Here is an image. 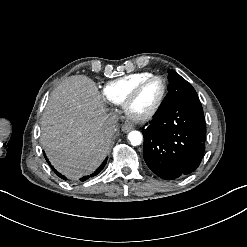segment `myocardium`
<instances>
[{
	"label": "myocardium",
	"mask_w": 247,
	"mask_h": 247,
	"mask_svg": "<svg viewBox=\"0 0 247 247\" xmlns=\"http://www.w3.org/2000/svg\"><path fill=\"white\" fill-rule=\"evenodd\" d=\"M149 80H159L162 83L163 90H162L161 98L159 99V101L155 105V107L153 109H151L150 111H148L147 113L137 115V116L131 115L129 113V108H130L131 104L137 98V95H138L141 87L146 82H148ZM167 93H168V84H167L166 79L160 75H149V76L141 79L139 82H137L132 87L131 91L126 95V97L121 102V106H122V109L126 113L130 114L135 120L140 121V122H145V121L151 120L152 118H154L159 113V111L161 110V108L163 107V105L166 101Z\"/></svg>",
	"instance_id": "myocardium-1"
}]
</instances>
